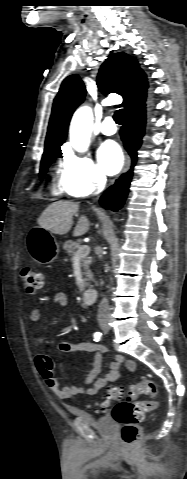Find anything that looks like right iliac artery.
I'll return each instance as SVG.
<instances>
[{"instance_id": "1", "label": "right iliac artery", "mask_w": 187, "mask_h": 479, "mask_svg": "<svg viewBox=\"0 0 187 479\" xmlns=\"http://www.w3.org/2000/svg\"><path fill=\"white\" fill-rule=\"evenodd\" d=\"M93 337H94V341L98 342L102 338V333L101 332H95Z\"/></svg>"}]
</instances>
